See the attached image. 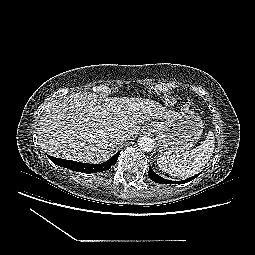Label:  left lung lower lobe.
<instances>
[{
    "mask_svg": "<svg viewBox=\"0 0 255 255\" xmlns=\"http://www.w3.org/2000/svg\"><path fill=\"white\" fill-rule=\"evenodd\" d=\"M198 175L199 174H197L195 176H192V177H190L186 180H182V181H171V180H166V179L161 178L159 175L154 173L151 168H149V171H148V176L152 181H154L156 183H162V184H173V183H175V184H184V183L190 182L191 180H193Z\"/></svg>",
    "mask_w": 255,
    "mask_h": 255,
    "instance_id": "obj_1",
    "label": "left lung lower lobe"
}]
</instances>
